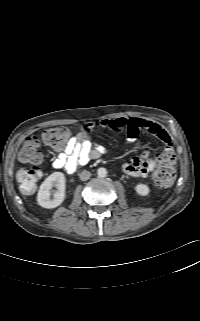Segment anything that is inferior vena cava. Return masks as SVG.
I'll list each match as a JSON object with an SVG mask.
<instances>
[{
  "instance_id": "602c4592",
  "label": "inferior vena cava",
  "mask_w": 200,
  "mask_h": 321,
  "mask_svg": "<svg viewBox=\"0 0 200 321\" xmlns=\"http://www.w3.org/2000/svg\"><path fill=\"white\" fill-rule=\"evenodd\" d=\"M91 176V173L87 170H83L80 174H79V177L82 181H86L90 178Z\"/></svg>"
}]
</instances>
